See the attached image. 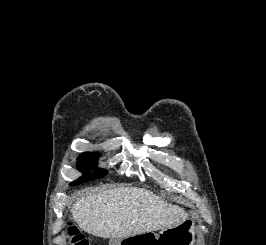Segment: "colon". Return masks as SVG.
I'll list each match as a JSON object with an SVG mask.
<instances>
[{"label":"colon","instance_id":"colon-1","mask_svg":"<svg viewBox=\"0 0 266 245\" xmlns=\"http://www.w3.org/2000/svg\"><path fill=\"white\" fill-rule=\"evenodd\" d=\"M67 236L71 245H89V242L84 238L82 233L73 225L67 226Z\"/></svg>","mask_w":266,"mask_h":245}]
</instances>
